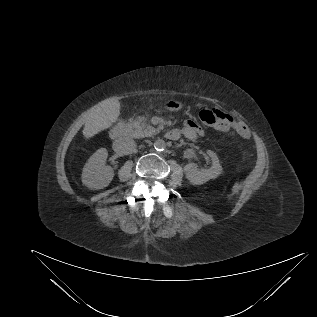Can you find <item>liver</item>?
Wrapping results in <instances>:
<instances>
[{
    "mask_svg": "<svg viewBox=\"0 0 317 317\" xmlns=\"http://www.w3.org/2000/svg\"><path fill=\"white\" fill-rule=\"evenodd\" d=\"M119 115L120 102L117 98L111 97L99 102L84 114V137L91 138L109 128Z\"/></svg>",
    "mask_w": 317,
    "mask_h": 317,
    "instance_id": "obj_1",
    "label": "liver"
}]
</instances>
